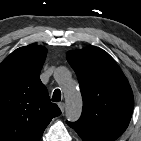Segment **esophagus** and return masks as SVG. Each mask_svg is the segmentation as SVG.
Segmentation results:
<instances>
[{"label":"esophagus","mask_w":141,"mask_h":141,"mask_svg":"<svg viewBox=\"0 0 141 141\" xmlns=\"http://www.w3.org/2000/svg\"><path fill=\"white\" fill-rule=\"evenodd\" d=\"M58 106H59L61 112L63 113L64 110H65V104H64L63 102H59V103H58Z\"/></svg>","instance_id":"34e87169"}]
</instances>
